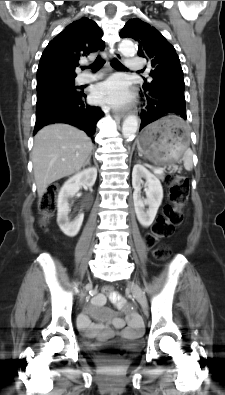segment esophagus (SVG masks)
Listing matches in <instances>:
<instances>
[{
	"instance_id": "obj_1",
	"label": "esophagus",
	"mask_w": 225,
	"mask_h": 395,
	"mask_svg": "<svg viewBox=\"0 0 225 395\" xmlns=\"http://www.w3.org/2000/svg\"><path fill=\"white\" fill-rule=\"evenodd\" d=\"M110 58H111V59H118V60H121V59H122V56H121V54L118 53V52H112V53L110 54ZM126 115H127V112H126V111H120V112L115 113V117H120V118H125Z\"/></svg>"
}]
</instances>
